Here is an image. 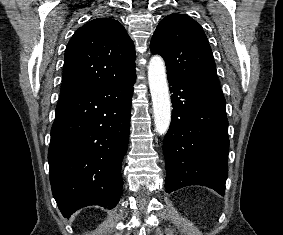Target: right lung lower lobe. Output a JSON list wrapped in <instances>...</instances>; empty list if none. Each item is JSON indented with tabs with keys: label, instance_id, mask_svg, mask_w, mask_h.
I'll use <instances>...</instances> for the list:
<instances>
[{
	"label": "right lung lower lobe",
	"instance_id": "obj_1",
	"mask_svg": "<svg viewBox=\"0 0 283 235\" xmlns=\"http://www.w3.org/2000/svg\"><path fill=\"white\" fill-rule=\"evenodd\" d=\"M136 74L59 99L48 151L53 196L64 216L112 209L122 193Z\"/></svg>",
	"mask_w": 283,
	"mask_h": 235
}]
</instances>
